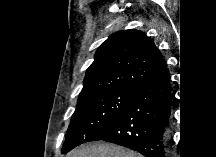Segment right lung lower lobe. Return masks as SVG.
I'll return each instance as SVG.
<instances>
[{
	"label": "right lung lower lobe",
	"mask_w": 216,
	"mask_h": 157,
	"mask_svg": "<svg viewBox=\"0 0 216 157\" xmlns=\"http://www.w3.org/2000/svg\"><path fill=\"white\" fill-rule=\"evenodd\" d=\"M171 87L168 68L132 89L121 115L92 141L131 148L144 157H166L170 140Z\"/></svg>",
	"instance_id": "right-lung-lower-lobe-1"
}]
</instances>
